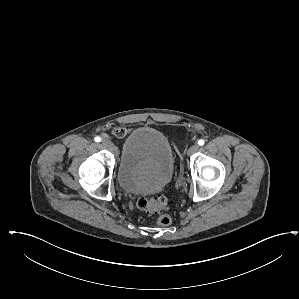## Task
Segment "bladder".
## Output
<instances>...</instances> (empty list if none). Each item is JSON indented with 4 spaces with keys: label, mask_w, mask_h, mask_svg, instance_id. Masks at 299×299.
Here are the masks:
<instances>
[{
    "label": "bladder",
    "mask_w": 299,
    "mask_h": 299,
    "mask_svg": "<svg viewBox=\"0 0 299 299\" xmlns=\"http://www.w3.org/2000/svg\"><path fill=\"white\" fill-rule=\"evenodd\" d=\"M175 156L167 137L157 129L139 127L126 137L118 165V182L131 193H154L167 185Z\"/></svg>",
    "instance_id": "obj_1"
}]
</instances>
